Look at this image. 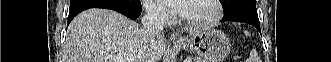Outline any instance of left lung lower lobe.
I'll use <instances>...</instances> for the list:
<instances>
[{"mask_svg":"<svg viewBox=\"0 0 331 62\" xmlns=\"http://www.w3.org/2000/svg\"><path fill=\"white\" fill-rule=\"evenodd\" d=\"M225 21H235V22L246 23V24L254 26L258 31H260V22L258 19V15H252V14L245 13V12H238V13L224 16V18L222 19V22H225Z\"/></svg>","mask_w":331,"mask_h":62,"instance_id":"1","label":"left lung lower lobe"}]
</instances>
